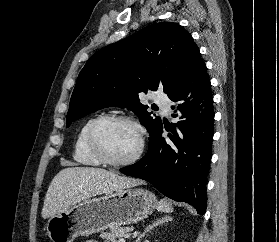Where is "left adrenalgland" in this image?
Instances as JSON below:
<instances>
[{
    "label": "left adrenal gland",
    "instance_id": "obj_1",
    "mask_svg": "<svg viewBox=\"0 0 279 242\" xmlns=\"http://www.w3.org/2000/svg\"><path fill=\"white\" fill-rule=\"evenodd\" d=\"M171 220H172V217L164 216L160 219H156V221H152V223L146 227L144 232L138 236L136 242H140V240L146 235V233H148L154 227L163 225L164 223H167L168 221H171Z\"/></svg>",
    "mask_w": 279,
    "mask_h": 242
}]
</instances>
